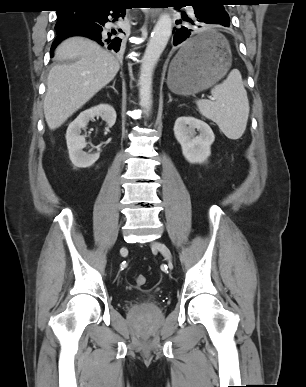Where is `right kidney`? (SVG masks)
Returning a JSON list of instances; mask_svg holds the SVG:
<instances>
[{"label": "right kidney", "mask_w": 306, "mask_h": 387, "mask_svg": "<svg viewBox=\"0 0 306 387\" xmlns=\"http://www.w3.org/2000/svg\"><path fill=\"white\" fill-rule=\"evenodd\" d=\"M101 117L108 127H112L116 122V111L111 105L100 104L87 109L70 123L66 131V141L69 151V158L72 164L78 168H87L92 166L100 156L99 152L86 153L83 148L86 147L85 137L81 130L85 129L87 124L94 117Z\"/></svg>", "instance_id": "ca27d5eb"}]
</instances>
